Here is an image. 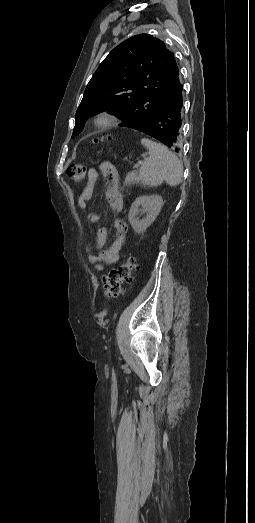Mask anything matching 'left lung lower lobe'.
<instances>
[{"label":"left lung lower lobe","mask_w":255,"mask_h":523,"mask_svg":"<svg viewBox=\"0 0 255 523\" xmlns=\"http://www.w3.org/2000/svg\"><path fill=\"white\" fill-rule=\"evenodd\" d=\"M183 87L176 86L170 93L169 101H166L158 115H152V120L146 121V124L138 125L134 129H141L146 135H153L155 140H160L159 144L164 148H169L175 152L180 148L179 136L182 123L181 112L186 105L187 100L182 93Z\"/></svg>","instance_id":"left-lung-lower-lobe-1"}]
</instances>
